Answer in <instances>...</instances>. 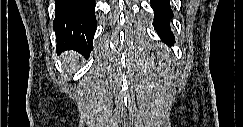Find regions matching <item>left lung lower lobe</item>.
Instances as JSON below:
<instances>
[{"mask_svg": "<svg viewBox=\"0 0 243 127\" xmlns=\"http://www.w3.org/2000/svg\"><path fill=\"white\" fill-rule=\"evenodd\" d=\"M151 6L155 13V21L153 23L155 30L164 43L173 45L174 36L170 28V19L173 12L170 6V0H150Z\"/></svg>", "mask_w": 243, "mask_h": 127, "instance_id": "obj_1", "label": "left lung lower lobe"}]
</instances>
